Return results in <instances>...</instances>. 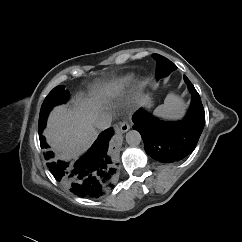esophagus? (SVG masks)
<instances>
[{"mask_svg":"<svg viewBox=\"0 0 242 242\" xmlns=\"http://www.w3.org/2000/svg\"><path fill=\"white\" fill-rule=\"evenodd\" d=\"M130 129V125L127 121H123L120 123L119 131L121 133H125Z\"/></svg>","mask_w":242,"mask_h":242,"instance_id":"esophagus-1","label":"esophagus"}]
</instances>
